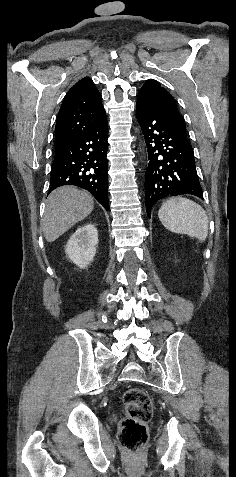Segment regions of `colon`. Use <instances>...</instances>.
Here are the masks:
<instances>
[{"mask_svg":"<svg viewBox=\"0 0 236 477\" xmlns=\"http://www.w3.org/2000/svg\"><path fill=\"white\" fill-rule=\"evenodd\" d=\"M125 418L119 427L121 446L131 456H139L147 441V423L154 411L149 395L141 388L128 389L123 397Z\"/></svg>","mask_w":236,"mask_h":477,"instance_id":"1","label":"colon"}]
</instances>
